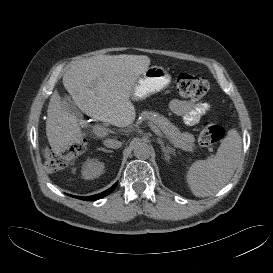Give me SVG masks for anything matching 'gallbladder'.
Listing matches in <instances>:
<instances>
[{
  "mask_svg": "<svg viewBox=\"0 0 273 273\" xmlns=\"http://www.w3.org/2000/svg\"><path fill=\"white\" fill-rule=\"evenodd\" d=\"M72 98L66 97L64 99V103L66 104L69 111L73 114V116L76 117L78 122H81L84 119V116L79 112V109L75 106V104L72 102Z\"/></svg>",
  "mask_w": 273,
  "mask_h": 273,
  "instance_id": "obj_1",
  "label": "gallbladder"
}]
</instances>
